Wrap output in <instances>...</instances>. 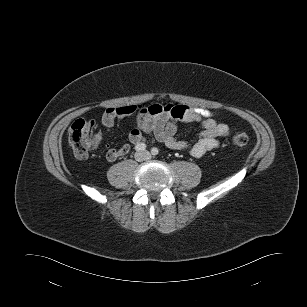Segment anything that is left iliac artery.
Returning a JSON list of instances; mask_svg holds the SVG:
<instances>
[{
    "label": "left iliac artery",
    "instance_id": "obj_1",
    "mask_svg": "<svg viewBox=\"0 0 307 307\" xmlns=\"http://www.w3.org/2000/svg\"><path fill=\"white\" fill-rule=\"evenodd\" d=\"M151 153L152 155L156 156L159 153V150L156 147H154L151 149Z\"/></svg>",
    "mask_w": 307,
    "mask_h": 307
}]
</instances>
